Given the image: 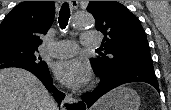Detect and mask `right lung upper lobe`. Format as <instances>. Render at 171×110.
Segmentation results:
<instances>
[{
    "mask_svg": "<svg viewBox=\"0 0 171 110\" xmlns=\"http://www.w3.org/2000/svg\"><path fill=\"white\" fill-rule=\"evenodd\" d=\"M55 15L54 1H25L0 24V45L38 48L40 36L49 30Z\"/></svg>",
    "mask_w": 171,
    "mask_h": 110,
    "instance_id": "cb5924a9",
    "label": "right lung upper lobe"
}]
</instances>
